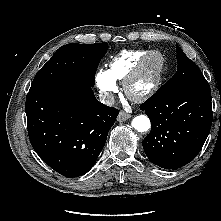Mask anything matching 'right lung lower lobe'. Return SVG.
Wrapping results in <instances>:
<instances>
[{
  "label": "right lung lower lobe",
  "instance_id": "98d812e1",
  "mask_svg": "<svg viewBox=\"0 0 221 221\" xmlns=\"http://www.w3.org/2000/svg\"><path fill=\"white\" fill-rule=\"evenodd\" d=\"M25 109L33 149L66 177L81 176L93 167L119 114L81 83L30 91Z\"/></svg>",
  "mask_w": 221,
  "mask_h": 221
}]
</instances>
